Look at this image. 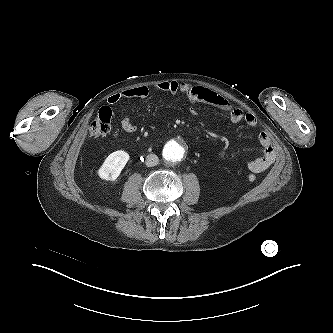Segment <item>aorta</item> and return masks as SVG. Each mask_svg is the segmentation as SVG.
I'll list each match as a JSON object with an SVG mask.
<instances>
[{
	"label": "aorta",
	"instance_id": "obj_1",
	"mask_svg": "<svg viewBox=\"0 0 333 333\" xmlns=\"http://www.w3.org/2000/svg\"><path fill=\"white\" fill-rule=\"evenodd\" d=\"M184 156V147L177 142L167 143L163 149V157L170 162L181 161Z\"/></svg>",
	"mask_w": 333,
	"mask_h": 333
}]
</instances>
